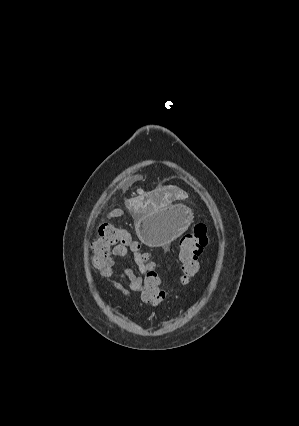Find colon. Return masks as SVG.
I'll return each instance as SVG.
<instances>
[{"instance_id": "5ec220e1", "label": "colon", "mask_w": 299, "mask_h": 426, "mask_svg": "<svg viewBox=\"0 0 299 426\" xmlns=\"http://www.w3.org/2000/svg\"><path fill=\"white\" fill-rule=\"evenodd\" d=\"M211 243L207 226L198 223L191 232L184 234L179 241L178 259L181 263L182 275L180 282L188 285L196 276L199 265L198 258ZM117 246H124L139 251L147 268L141 290V300L151 306H159L167 300L169 292L163 288L160 276L147 253L140 250V244L123 228L112 223H103L99 227V236L92 243L91 261L99 269L111 250Z\"/></svg>"}]
</instances>
